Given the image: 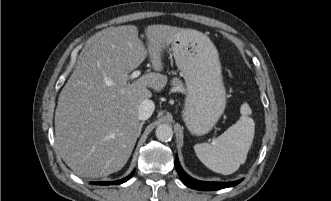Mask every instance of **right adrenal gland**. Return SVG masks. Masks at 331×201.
Returning a JSON list of instances; mask_svg holds the SVG:
<instances>
[{"instance_id":"obj_1","label":"right adrenal gland","mask_w":331,"mask_h":201,"mask_svg":"<svg viewBox=\"0 0 331 201\" xmlns=\"http://www.w3.org/2000/svg\"><path fill=\"white\" fill-rule=\"evenodd\" d=\"M143 124H144V122H141V123H140V129L142 128Z\"/></svg>"}]
</instances>
